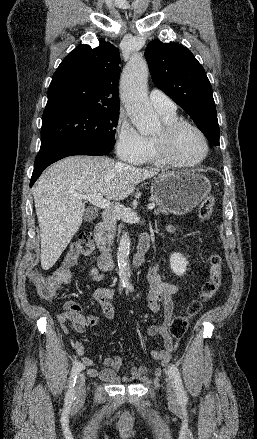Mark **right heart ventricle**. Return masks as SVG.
I'll return each mask as SVG.
<instances>
[{
	"label": "right heart ventricle",
	"mask_w": 257,
	"mask_h": 439,
	"mask_svg": "<svg viewBox=\"0 0 257 439\" xmlns=\"http://www.w3.org/2000/svg\"><path fill=\"white\" fill-rule=\"evenodd\" d=\"M164 123H170V122H174L176 120H178L176 114H170V115H165V114H160ZM146 138V152L144 154V156L141 158V160H139L136 163L139 164H143V163H162V159L156 149V145H155V141H154V136H148L145 137Z\"/></svg>",
	"instance_id": "e07e8e85"
}]
</instances>
